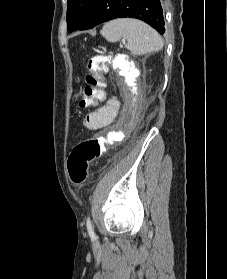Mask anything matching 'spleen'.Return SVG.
<instances>
[{"mask_svg":"<svg viewBox=\"0 0 227 279\" xmlns=\"http://www.w3.org/2000/svg\"><path fill=\"white\" fill-rule=\"evenodd\" d=\"M100 33L109 42L125 39L129 50L136 55L157 52L163 48V40L157 31L136 19L112 20L103 26Z\"/></svg>","mask_w":227,"mask_h":279,"instance_id":"spleen-1","label":"spleen"}]
</instances>
